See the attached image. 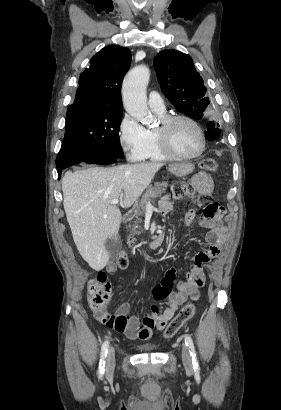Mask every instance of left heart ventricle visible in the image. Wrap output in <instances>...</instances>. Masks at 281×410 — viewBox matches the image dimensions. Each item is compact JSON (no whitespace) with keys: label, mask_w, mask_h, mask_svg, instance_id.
Wrapping results in <instances>:
<instances>
[{"label":"left heart ventricle","mask_w":281,"mask_h":410,"mask_svg":"<svg viewBox=\"0 0 281 410\" xmlns=\"http://www.w3.org/2000/svg\"><path fill=\"white\" fill-rule=\"evenodd\" d=\"M172 148L179 154L192 155L201 147V138L197 129L186 121L175 122L168 132Z\"/></svg>","instance_id":"obj_1"}]
</instances>
